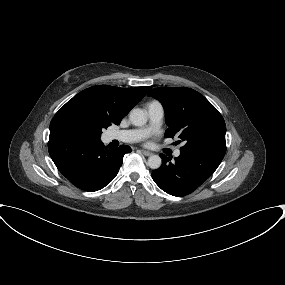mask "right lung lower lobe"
<instances>
[{"label": "right lung lower lobe", "instance_id": "right-lung-lower-lobe-1", "mask_svg": "<svg viewBox=\"0 0 285 285\" xmlns=\"http://www.w3.org/2000/svg\"><path fill=\"white\" fill-rule=\"evenodd\" d=\"M48 151L58 170L73 185L93 192L115 178L123 156L131 152V148L121 145L108 149L101 141H87L65 131H53L49 136Z\"/></svg>", "mask_w": 285, "mask_h": 285}]
</instances>
